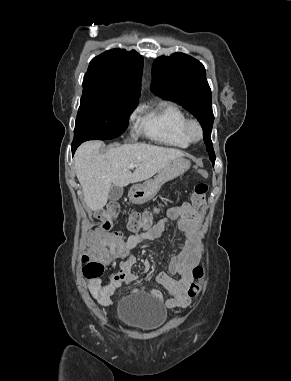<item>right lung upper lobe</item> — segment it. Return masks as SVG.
Wrapping results in <instances>:
<instances>
[{"label":"right lung upper lobe","instance_id":"cb5924a9","mask_svg":"<svg viewBox=\"0 0 291 381\" xmlns=\"http://www.w3.org/2000/svg\"><path fill=\"white\" fill-rule=\"evenodd\" d=\"M143 57L136 51L111 49L92 59L83 92L138 102Z\"/></svg>","mask_w":291,"mask_h":381}]
</instances>
